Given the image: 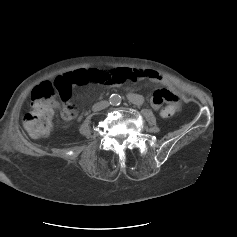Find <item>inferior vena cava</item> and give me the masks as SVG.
I'll list each match as a JSON object with an SVG mask.
<instances>
[{
    "mask_svg": "<svg viewBox=\"0 0 237 237\" xmlns=\"http://www.w3.org/2000/svg\"><path fill=\"white\" fill-rule=\"evenodd\" d=\"M108 106H109L108 101H100V102L93 105L92 110L99 111V110H102Z\"/></svg>",
    "mask_w": 237,
    "mask_h": 237,
    "instance_id": "obj_1",
    "label": "inferior vena cava"
}]
</instances>
